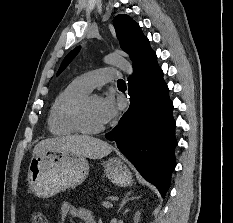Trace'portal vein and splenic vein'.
I'll return each mask as SVG.
<instances>
[{"instance_id": "portal-vein-and-splenic-vein-1", "label": "portal vein and splenic vein", "mask_w": 233, "mask_h": 223, "mask_svg": "<svg viewBox=\"0 0 233 223\" xmlns=\"http://www.w3.org/2000/svg\"><path fill=\"white\" fill-rule=\"evenodd\" d=\"M101 205L105 206V207H111L112 203H111V201H102Z\"/></svg>"}]
</instances>
